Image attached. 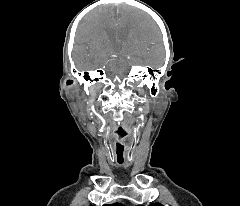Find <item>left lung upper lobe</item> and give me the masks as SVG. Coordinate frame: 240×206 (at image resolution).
<instances>
[{
  "label": "left lung upper lobe",
  "instance_id": "5c2ea615",
  "mask_svg": "<svg viewBox=\"0 0 240 206\" xmlns=\"http://www.w3.org/2000/svg\"><path fill=\"white\" fill-rule=\"evenodd\" d=\"M149 206H163V205L160 204V203H153V204H151V205H149Z\"/></svg>",
  "mask_w": 240,
  "mask_h": 206
}]
</instances>
